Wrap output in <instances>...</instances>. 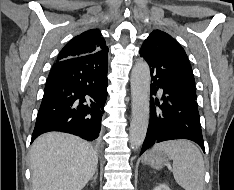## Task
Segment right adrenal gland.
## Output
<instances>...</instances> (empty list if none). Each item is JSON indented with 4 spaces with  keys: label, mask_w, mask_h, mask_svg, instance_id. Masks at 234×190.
Returning <instances> with one entry per match:
<instances>
[{
    "label": "right adrenal gland",
    "mask_w": 234,
    "mask_h": 190,
    "mask_svg": "<svg viewBox=\"0 0 234 190\" xmlns=\"http://www.w3.org/2000/svg\"><path fill=\"white\" fill-rule=\"evenodd\" d=\"M97 176H98V173L96 172V175L92 178V180H93L94 182H96Z\"/></svg>",
    "instance_id": "1"
}]
</instances>
